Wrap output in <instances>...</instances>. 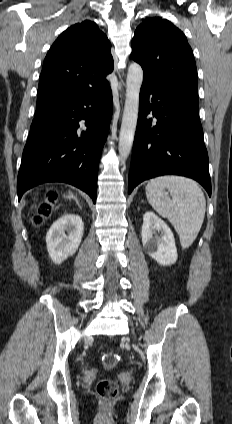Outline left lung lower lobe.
Returning a JSON list of instances; mask_svg holds the SVG:
<instances>
[{
    "mask_svg": "<svg viewBox=\"0 0 232 424\" xmlns=\"http://www.w3.org/2000/svg\"><path fill=\"white\" fill-rule=\"evenodd\" d=\"M153 95L149 105V96ZM152 111L157 123L146 116ZM181 175L198 181L211 196L208 154L199 119L198 92L143 85L129 172L128 192L144 180Z\"/></svg>",
    "mask_w": 232,
    "mask_h": 424,
    "instance_id": "0a47b994",
    "label": "left lung lower lobe"
}]
</instances>
